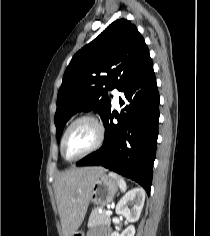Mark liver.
I'll list each match as a JSON object with an SVG mask.
<instances>
[{"label":"liver","mask_w":210,"mask_h":236,"mask_svg":"<svg viewBox=\"0 0 210 236\" xmlns=\"http://www.w3.org/2000/svg\"><path fill=\"white\" fill-rule=\"evenodd\" d=\"M105 171L103 167H81L57 176L54 189L63 236H72L81 226L93 182Z\"/></svg>","instance_id":"6515ba94"}]
</instances>
